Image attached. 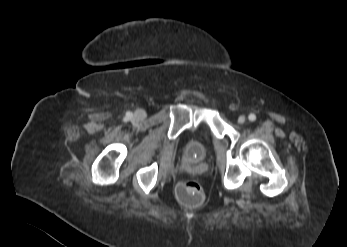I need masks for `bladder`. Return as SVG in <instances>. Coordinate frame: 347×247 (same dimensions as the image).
I'll use <instances>...</instances> for the list:
<instances>
[{
	"mask_svg": "<svg viewBox=\"0 0 347 247\" xmlns=\"http://www.w3.org/2000/svg\"><path fill=\"white\" fill-rule=\"evenodd\" d=\"M211 145V134L206 124L200 134L185 144V153L188 161L200 162L205 159Z\"/></svg>",
	"mask_w": 347,
	"mask_h": 247,
	"instance_id": "1",
	"label": "bladder"
}]
</instances>
